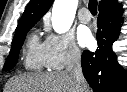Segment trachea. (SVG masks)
Listing matches in <instances>:
<instances>
[{
	"instance_id": "1",
	"label": "trachea",
	"mask_w": 127,
	"mask_h": 92,
	"mask_svg": "<svg viewBox=\"0 0 127 92\" xmlns=\"http://www.w3.org/2000/svg\"><path fill=\"white\" fill-rule=\"evenodd\" d=\"M88 8L91 14L96 15L97 14V0H90Z\"/></svg>"
}]
</instances>
